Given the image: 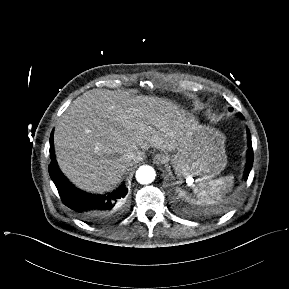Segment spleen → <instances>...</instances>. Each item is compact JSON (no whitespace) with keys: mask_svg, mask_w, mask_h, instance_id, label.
I'll return each instance as SVG.
<instances>
[{"mask_svg":"<svg viewBox=\"0 0 289 289\" xmlns=\"http://www.w3.org/2000/svg\"><path fill=\"white\" fill-rule=\"evenodd\" d=\"M233 176L228 175L218 179L206 181L198 179V184L194 187V192L197 193L200 200L212 202L221 200L223 195L231 190L233 186Z\"/></svg>","mask_w":289,"mask_h":289,"instance_id":"3e777b00","label":"spleen"}]
</instances>
